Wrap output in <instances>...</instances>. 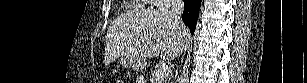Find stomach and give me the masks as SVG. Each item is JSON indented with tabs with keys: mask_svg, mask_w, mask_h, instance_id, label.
<instances>
[{
	"mask_svg": "<svg viewBox=\"0 0 307 83\" xmlns=\"http://www.w3.org/2000/svg\"><path fill=\"white\" fill-rule=\"evenodd\" d=\"M120 63L124 68H133L134 70H141L146 66V61H139L131 57H122Z\"/></svg>",
	"mask_w": 307,
	"mask_h": 83,
	"instance_id": "1",
	"label": "stomach"
}]
</instances>
